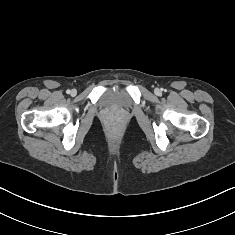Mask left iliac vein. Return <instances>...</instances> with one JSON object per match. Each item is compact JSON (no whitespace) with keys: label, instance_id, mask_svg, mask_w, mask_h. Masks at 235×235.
<instances>
[{"label":"left iliac vein","instance_id":"1","mask_svg":"<svg viewBox=\"0 0 235 235\" xmlns=\"http://www.w3.org/2000/svg\"><path fill=\"white\" fill-rule=\"evenodd\" d=\"M154 92H155L156 95H160L161 94V91L158 88H156Z\"/></svg>","mask_w":235,"mask_h":235}]
</instances>
